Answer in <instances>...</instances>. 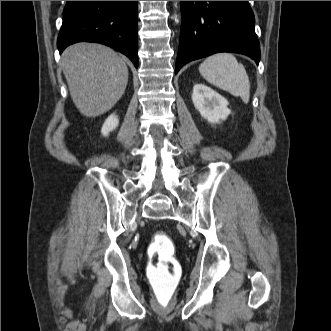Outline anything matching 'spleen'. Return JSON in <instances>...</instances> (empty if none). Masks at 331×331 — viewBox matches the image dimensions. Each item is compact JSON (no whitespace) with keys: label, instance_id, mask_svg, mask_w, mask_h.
Returning a JSON list of instances; mask_svg holds the SVG:
<instances>
[{"label":"spleen","instance_id":"obj_1","mask_svg":"<svg viewBox=\"0 0 331 331\" xmlns=\"http://www.w3.org/2000/svg\"><path fill=\"white\" fill-rule=\"evenodd\" d=\"M200 74L211 84L249 102L250 82L244 66L230 53L207 57L199 66Z\"/></svg>","mask_w":331,"mask_h":331}]
</instances>
